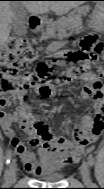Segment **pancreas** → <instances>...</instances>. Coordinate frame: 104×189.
<instances>
[{"mask_svg": "<svg viewBox=\"0 0 104 189\" xmlns=\"http://www.w3.org/2000/svg\"><path fill=\"white\" fill-rule=\"evenodd\" d=\"M85 9V7L77 8L70 12L66 17L60 18L58 22L51 23L47 28V32L51 35H54L55 32H58L57 37H60L65 33L66 29H69L70 27L81 26L82 14L84 13Z\"/></svg>", "mask_w": 104, "mask_h": 189, "instance_id": "obj_1", "label": "pancreas"}]
</instances>
